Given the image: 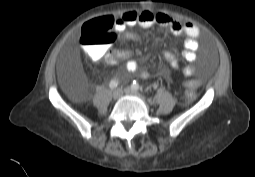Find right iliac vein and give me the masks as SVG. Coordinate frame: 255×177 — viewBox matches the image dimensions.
Returning <instances> with one entry per match:
<instances>
[{"label": "right iliac vein", "instance_id": "1", "mask_svg": "<svg viewBox=\"0 0 255 177\" xmlns=\"http://www.w3.org/2000/svg\"><path fill=\"white\" fill-rule=\"evenodd\" d=\"M123 94V91L121 89H116L113 94H112V97L113 99H119Z\"/></svg>", "mask_w": 255, "mask_h": 177}]
</instances>
